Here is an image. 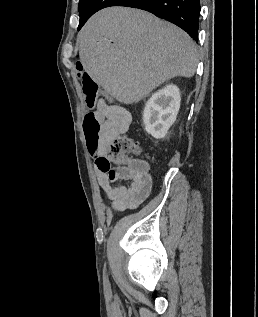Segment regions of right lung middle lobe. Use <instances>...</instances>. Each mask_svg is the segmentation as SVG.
<instances>
[{
	"instance_id": "dd1d6c3e",
	"label": "right lung middle lobe",
	"mask_w": 258,
	"mask_h": 317,
	"mask_svg": "<svg viewBox=\"0 0 258 317\" xmlns=\"http://www.w3.org/2000/svg\"><path fill=\"white\" fill-rule=\"evenodd\" d=\"M86 1H87V0H80L79 5H78V10L81 9V7L84 5V3H85Z\"/></svg>"
}]
</instances>
